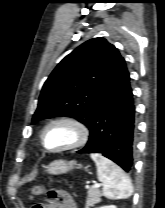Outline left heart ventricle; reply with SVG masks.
Returning a JSON list of instances; mask_svg holds the SVG:
<instances>
[{"instance_id":"left-heart-ventricle-1","label":"left heart ventricle","mask_w":165,"mask_h":208,"mask_svg":"<svg viewBox=\"0 0 165 208\" xmlns=\"http://www.w3.org/2000/svg\"><path fill=\"white\" fill-rule=\"evenodd\" d=\"M74 130L65 124L54 125L45 134V144L49 148H59L65 146L75 139Z\"/></svg>"}]
</instances>
